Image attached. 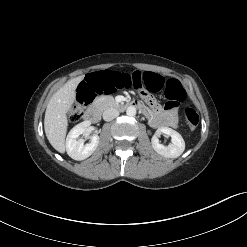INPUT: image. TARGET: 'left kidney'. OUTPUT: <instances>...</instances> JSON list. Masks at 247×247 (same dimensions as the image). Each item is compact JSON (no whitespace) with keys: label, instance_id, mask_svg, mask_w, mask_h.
<instances>
[{"label":"left kidney","instance_id":"5707ae66","mask_svg":"<svg viewBox=\"0 0 247 247\" xmlns=\"http://www.w3.org/2000/svg\"><path fill=\"white\" fill-rule=\"evenodd\" d=\"M165 134L171 137V144L164 146L160 144L159 136ZM152 147L160 155L167 158L179 157L185 149V142L182 136L175 130L168 127H160L152 137Z\"/></svg>","mask_w":247,"mask_h":247}]
</instances>
